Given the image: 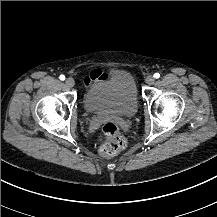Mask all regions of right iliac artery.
<instances>
[{"label":"right iliac artery","instance_id":"right-iliac-artery-1","mask_svg":"<svg viewBox=\"0 0 217 217\" xmlns=\"http://www.w3.org/2000/svg\"><path fill=\"white\" fill-rule=\"evenodd\" d=\"M59 78H60V80H62V81L65 80V76H64V75H60Z\"/></svg>","mask_w":217,"mask_h":217}]
</instances>
